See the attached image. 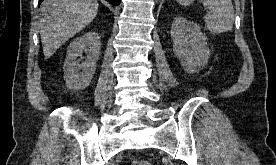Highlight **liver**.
Returning a JSON list of instances; mask_svg holds the SVG:
<instances>
[{
  "label": "liver",
  "mask_w": 276,
  "mask_h": 165,
  "mask_svg": "<svg viewBox=\"0 0 276 165\" xmlns=\"http://www.w3.org/2000/svg\"><path fill=\"white\" fill-rule=\"evenodd\" d=\"M40 11L41 41L45 58L90 24L97 15V0H44Z\"/></svg>",
  "instance_id": "6515ba94"
}]
</instances>
